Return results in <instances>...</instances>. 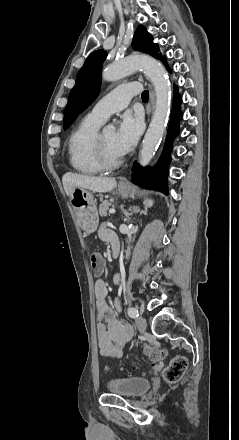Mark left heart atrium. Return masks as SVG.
Masks as SVG:
<instances>
[{
    "mask_svg": "<svg viewBox=\"0 0 239 440\" xmlns=\"http://www.w3.org/2000/svg\"><path fill=\"white\" fill-rule=\"evenodd\" d=\"M143 128L142 119L130 112L124 113L115 132L114 146L119 155L128 153L136 144Z\"/></svg>",
    "mask_w": 239,
    "mask_h": 440,
    "instance_id": "left-heart-atrium-1",
    "label": "left heart atrium"
}]
</instances>
